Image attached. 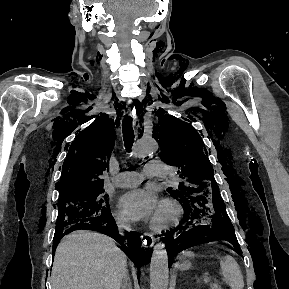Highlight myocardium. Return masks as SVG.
Instances as JSON below:
<instances>
[{"label":"myocardium","mask_w":289,"mask_h":289,"mask_svg":"<svg viewBox=\"0 0 289 289\" xmlns=\"http://www.w3.org/2000/svg\"><path fill=\"white\" fill-rule=\"evenodd\" d=\"M158 211H164L166 216L161 220L156 218L152 219L150 227L157 232L177 225L183 215L181 206L173 199L162 200Z\"/></svg>","instance_id":"obj_1"}]
</instances>
